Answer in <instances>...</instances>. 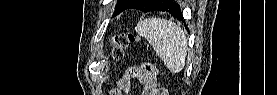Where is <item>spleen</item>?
<instances>
[{
  "label": "spleen",
  "instance_id": "1",
  "mask_svg": "<svg viewBox=\"0 0 277 95\" xmlns=\"http://www.w3.org/2000/svg\"><path fill=\"white\" fill-rule=\"evenodd\" d=\"M136 32L144 37L173 73L183 70L187 55V38L174 22L162 18H148L138 22Z\"/></svg>",
  "mask_w": 277,
  "mask_h": 95
}]
</instances>
